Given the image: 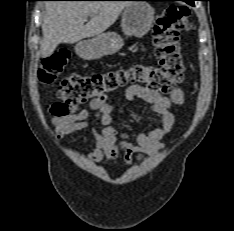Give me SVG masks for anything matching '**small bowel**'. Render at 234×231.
I'll list each match as a JSON object with an SVG mask.
<instances>
[{
  "label": "small bowel",
  "mask_w": 234,
  "mask_h": 231,
  "mask_svg": "<svg viewBox=\"0 0 234 231\" xmlns=\"http://www.w3.org/2000/svg\"><path fill=\"white\" fill-rule=\"evenodd\" d=\"M126 98L133 102L138 109L142 108L140 100L148 104V109L161 116V126L149 131L141 132L135 141L118 131L114 125V118L123 114L122 109L115 106L107 97H99L90 102L89 110H81L76 113L63 114L59 105L50 107L51 122L56 129L59 138L89 130L95 142V148L87 154L90 162L98 163L107 159L111 163H117L121 158L130 162L137 152L157 154L165 147L162 139L171 132L175 117L171 111L173 105L182 104L184 94L180 87L168 95L163 96L140 85H131L126 90ZM102 124V129L97 130L89 122L90 113Z\"/></svg>",
  "instance_id": "small-bowel-1"
}]
</instances>
